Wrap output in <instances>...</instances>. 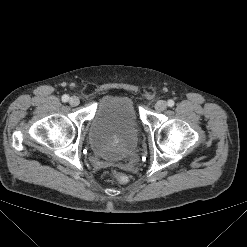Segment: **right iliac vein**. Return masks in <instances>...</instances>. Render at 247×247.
I'll return each instance as SVG.
<instances>
[{
  "label": "right iliac vein",
  "mask_w": 247,
  "mask_h": 247,
  "mask_svg": "<svg viewBox=\"0 0 247 247\" xmlns=\"http://www.w3.org/2000/svg\"><path fill=\"white\" fill-rule=\"evenodd\" d=\"M69 103H70L72 106H77V105H79L80 100H79L78 97L73 96V97H71V98L69 99Z\"/></svg>",
  "instance_id": "obj_1"
}]
</instances>
